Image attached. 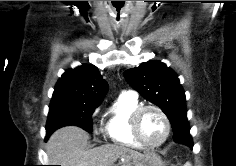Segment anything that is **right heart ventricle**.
<instances>
[{"mask_svg": "<svg viewBox=\"0 0 236 166\" xmlns=\"http://www.w3.org/2000/svg\"><path fill=\"white\" fill-rule=\"evenodd\" d=\"M140 106L138 98L128 94H121L110 106L105 131L113 144L132 149L143 148L133 137L130 128L131 116Z\"/></svg>", "mask_w": 236, "mask_h": 166, "instance_id": "obj_1", "label": "right heart ventricle"}]
</instances>
